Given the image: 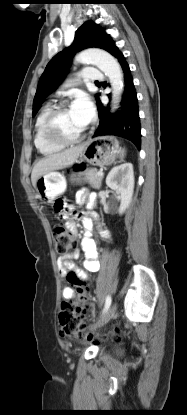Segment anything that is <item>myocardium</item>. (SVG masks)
Returning <instances> with one entry per match:
<instances>
[{
  "mask_svg": "<svg viewBox=\"0 0 187 415\" xmlns=\"http://www.w3.org/2000/svg\"><path fill=\"white\" fill-rule=\"evenodd\" d=\"M67 108H69L68 102L63 101L58 103L50 110L44 122V134L46 138L50 142L61 146H69L80 142L84 138L87 129L85 127L81 133L71 138L63 136L58 131L57 119L60 114Z\"/></svg>",
  "mask_w": 187,
  "mask_h": 415,
  "instance_id": "obj_1",
  "label": "myocardium"
}]
</instances>
